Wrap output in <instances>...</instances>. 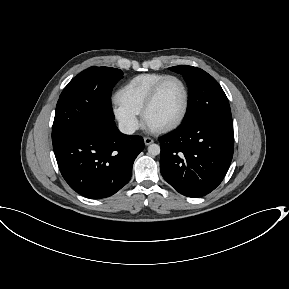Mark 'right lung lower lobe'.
<instances>
[{"label":"right lung lower lobe","mask_w":289,"mask_h":289,"mask_svg":"<svg viewBox=\"0 0 289 289\" xmlns=\"http://www.w3.org/2000/svg\"><path fill=\"white\" fill-rule=\"evenodd\" d=\"M143 148L142 137L122 134L115 123L87 125L53 144L65 181L93 199L109 197L129 182Z\"/></svg>","instance_id":"right-lung-lower-lobe-1"}]
</instances>
